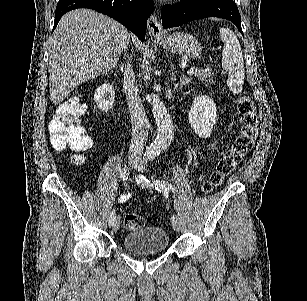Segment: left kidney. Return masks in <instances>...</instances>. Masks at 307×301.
Here are the masks:
<instances>
[{"mask_svg": "<svg viewBox=\"0 0 307 301\" xmlns=\"http://www.w3.org/2000/svg\"><path fill=\"white\" fill-rule=\"evenodd\" d=\"M216 104L207 94L195 96L188 112V120L196 134L201 138H208L217 120Z\"/></svg>", "mask_w": 307, "mask_h": 301, "instance_id": "left-kidney-1", "label": "left kidney"}]
</instances>
